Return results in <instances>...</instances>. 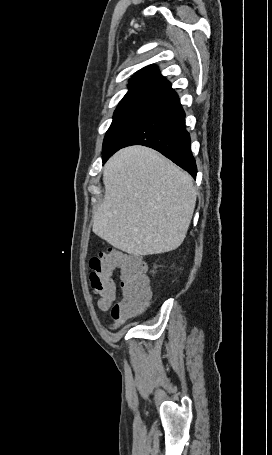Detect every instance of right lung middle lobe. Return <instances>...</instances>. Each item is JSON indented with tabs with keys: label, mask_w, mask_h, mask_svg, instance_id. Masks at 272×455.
<instances>
[{
	"label": "right lung middle lobe",
	"mask_w": 272,
	"mask_h": 455,
	"mask_svg": "<svg viewBox=\"0 0 272 455\" xmlns=\"http://www.w3.org/2000/svg\"><path fill=\"white\" fill-rule=\"evenodd\" d=\"M165 106L162 102L149 100H126L118 104L113 121L103 142V155L130 129L149 118Z\"/></svg>",
	"instance_id": "dd1d6c3e"
}]
</instances>
